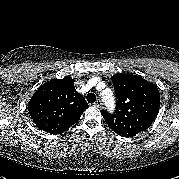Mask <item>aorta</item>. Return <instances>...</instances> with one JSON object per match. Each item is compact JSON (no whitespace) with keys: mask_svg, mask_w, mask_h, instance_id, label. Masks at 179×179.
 Masks as SVG:
<instances>
[{"mask_svg":"<svg viewBox=\"0 0 179 179\" xmlns=\"http://www.w3.org/2000/svg\"><path fill=\"white\" fill-rule=\"evenodd\" d=\"M103 101L107 107L114 108V96L110 89H106L103 93Z\"/></svg>","mask_w":179,"mask_h":179,"instance_id":"762f6f07","label":"aorta"}]
</instances>
